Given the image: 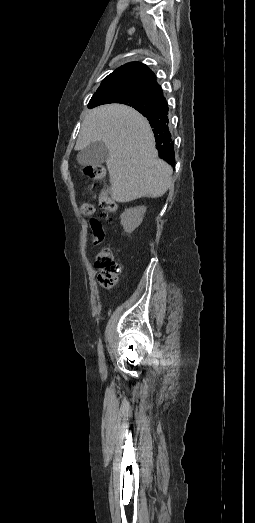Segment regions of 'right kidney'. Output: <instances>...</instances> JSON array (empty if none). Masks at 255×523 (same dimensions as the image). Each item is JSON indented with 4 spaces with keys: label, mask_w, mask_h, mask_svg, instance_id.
<instances>
[{
    "label": "right kidney",
    "mask_w": 255,
    "mask_h": 523,
    "mask_svg": "<svg viewBox=\"0 0 255 523\" xmlns=\"http://www.w3.org/2000/svg\"><path fill=\"white\" fill-rule=\"evenodd\" d=\"M145 212V206H137V208H129V210H125V212L120 216L121 226H123L124 232L132 234V232L140 226Z\"/></svg>",
    "instance_id": "1"
}]
</instances>
